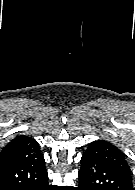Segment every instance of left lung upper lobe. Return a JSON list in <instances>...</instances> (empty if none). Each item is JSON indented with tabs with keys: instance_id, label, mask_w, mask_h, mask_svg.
<instances>
[{
	"instance_id": "1",
	"label": "left lung upper lobe",
	"mask_w": 135,
	"mask_h": 190,
	"mask_svg": "<svg viewBox=\"0 0 135 190\" xmlns=\"http://www.w3.org/2000/svg\"><path fill=\"white\" fill-rule=\"evenodd\" d=\"M84 155H90L106 161L131 179L132 172L125 156L115 145L104 140H98L88 146Z\"/></svg>"
}]
</instances>
